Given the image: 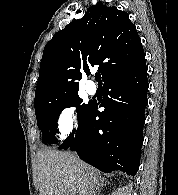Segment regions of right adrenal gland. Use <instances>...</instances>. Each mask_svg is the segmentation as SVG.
<instances>
[{
  "instance_id": "1",
  "label": "right adrenal gland",
  "mask_w": 178,
  "mask_h": 195,
  "mask_svg": "<svg viewBox=\"0 0 178 195\" xmlns=\"http://www.w3.org/2000/svg\"><path fill=\"white\" fill-rule=\"evenodd\" d=\"M107 183H108V182L105 181L104 178L101 179L100 184H99V188H98V193H99V194L101 193V190L103 189V187H104ZM99 194H98V195H99Z\"/></svg>"
}]
</instances>
